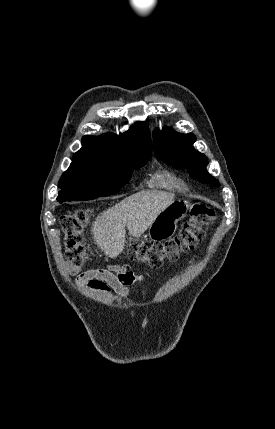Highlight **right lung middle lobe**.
<instances>
[{
	"label": "right lung middle lobe",
	"instance_id": "dd1d6c3e",
	"mask_svg": "<svg viewBox=\"0 0 275 429\" xmlns=\"http://www.w3.org/2000/svg\"><path fill=\"white\" fill-rule=\"evenodd\" d=\"M150 155H124L109 161L72 162L60 181L61 202L90 200L120 191L132 172L144 166Z\"/></svg>",
	"mask_w": 275,
	"mask_h": 429
}]
</instances>
